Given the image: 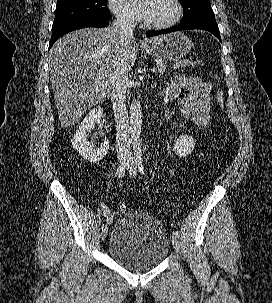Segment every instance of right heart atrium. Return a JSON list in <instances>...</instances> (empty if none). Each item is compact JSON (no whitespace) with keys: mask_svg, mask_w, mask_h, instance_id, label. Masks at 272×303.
Masks as SVG:
<instances>
[{"mask_svg":"<svg viewBox=\"0 0 272 303\" xmlns=\"http://www.w3.org/2000/svg\"><path fill=\"white\" fill-rule=\"evenodd\" d=\"M110 10L118 21L125 24H132L136 21V11L129 4L128 0H107Z\"/></svg>","mask_w":272,"mask_h":303,"instance_id":"1","label":"right heart atrium"}]
</instances>
